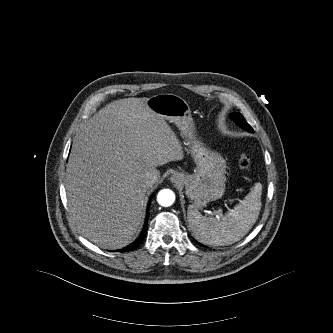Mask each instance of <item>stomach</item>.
I'll return each instance as SVG.
<instances>
[{
  "label": "stomach",
  "mask_w": 333,
  "mask_h": 333,
  "mask_svg": "<svg viewBox=\"0 0 333 333\" xmlns=\"http://www.w3.org/2000/svg\"><path fill=\"white\" fill-rule=\"evenodd\" d=\"M146 105L164 120L174 123L191 148L197 168L192 175L183 174V186L194 207L201 208L221 198L225 191L226 161L196 138L187 102L178 95L162 93L148 98Z\"/></svg>",
  "instance_id": "stomach-1"
}]
</instances>
